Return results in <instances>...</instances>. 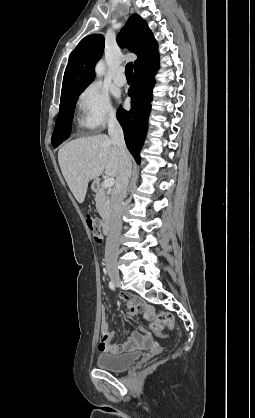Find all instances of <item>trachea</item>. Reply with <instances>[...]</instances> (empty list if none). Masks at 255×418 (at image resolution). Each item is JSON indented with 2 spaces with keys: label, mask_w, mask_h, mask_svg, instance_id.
<instances>
[{
  "label": "trachea",
  "mask_w": 255,
  "mask_h": 418,
  "mask_svg": "<svg viewBox=\"0 0 255 418\" xmlns=\"http://www.w3.org/2000/svg\"><path fill=\"white\" fill-rule=\"evenodd\" d=\"M132 74H133V63L129 62L125 67V75L132 77Z\"/></svg>",
  "instance_id": "1"
}]
</instances>
